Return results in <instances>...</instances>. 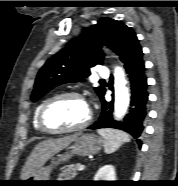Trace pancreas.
I'll return each instance as SVG.
<instances>
[{
	"instance_id": "obj_1",
	"label": "pancreas",
	"mask_w": 178,
	"mask_h": 186,
	"mask_svg": "<svg viewBox=\"0 0 178 186\" xmlns=\"http://www.w3.org/2000/svg\"><path fill=\"white\" fill-rule=\"evenodd\" d=\"M78 167L79 163L69 165L59 174L57 181H70L71 179L75 178Z\"/></svg>"
}]
</instances>
